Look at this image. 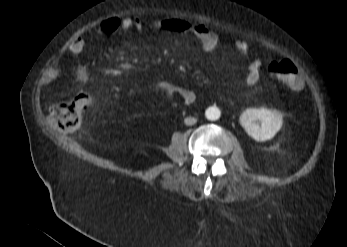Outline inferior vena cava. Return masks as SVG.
<instances>
[{
  "instance_id": "inferior-vena-cava-1",
  "label": "inferior vena cava",
  "mask_w": 347,
  "mask_h": 247,
  "mask_svg": "<svg viewBox=\"0 0 347 247\" xmlns=\"http://www.w3.org/2000/svg\"><path fill=\"white\" fill-rule=\"evenodd\" d=\"M196 122H197V119L194 118V117H186V118L184 119V123H185L186 125H194Z\"/></svg>"
}]
</instances>
